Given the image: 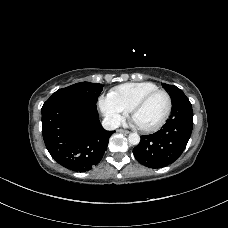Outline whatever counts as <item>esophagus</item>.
Returning <instances> with one entry per match:
<instances>
[{"label": "esophagus", "instance_id": "34e87169", "mask_svg": "<svg viewBox=\"0 0 228 228\" xmlns=\"http://www.w3.org/2000/svg\"><path fill=\"white\" fill-rule=\"evenodd\" d=\"M117 132L119 133H125V134H129V131L124 130V129H118Z\"/></svg>", "mask_w": 228, "mask_h": 228}]
</instances>
